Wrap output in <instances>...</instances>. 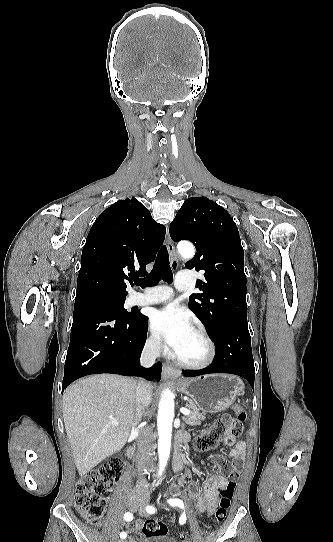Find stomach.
Returning a JSON list of instances; mask_svg holds the SVG:
<instances>
[{"label":"stomach","mask_w":333,"mask_h":542,"mask_svg":"<svg viewBox=\"0 0 333 542\" xmlns=\"http://www.w3.org/2000/svg\"><path fill=\"white\" fill-rule=\"evenodd\" d=\"M180 392L190 396L200 410L207 412H222L236 402L244 392V384L237 376L224 374H207L199 378L179 380Z\"/></svg>","instance_id":"obj_1"}]
</instances>
